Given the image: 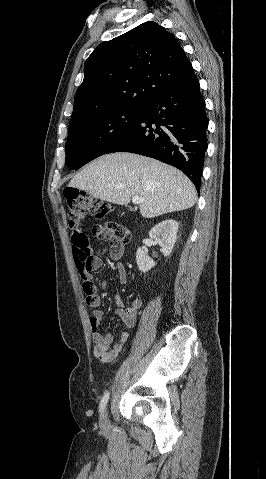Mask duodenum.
<instances>
[{"mask_svg":"<svg viewBox=\"0 0 266 479\" xmlns=\"http://www.w3.org/2000/svg\"><path fill=\"white\" fill-rule=\"evenodd\" d=\"M111 256L113 258L119 256V255H122L123 254V247L122 245H114L112 248H111V252H110Z\"/></svg>","mask_w":266,"mask_h":479,"instance_id":"1","label":"duodenum"}]
</instances>
